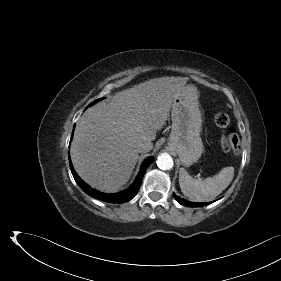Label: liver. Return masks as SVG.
Returning <instances> with one entry per match:
<instances>
[{"mask_svg": "<svg viewBox=\"0 0 281 281\" xmlns=\"http://www.w3.org/2000/svg\"><path fill=\"white\" fill-rule=\"evenodd\" d=\"M187 81L173 76L150 79L89 108L76 125L70 149L78 175L97 190H120L139 159L138 144L152 149L157 130Z\"/></svg>", "mask_w": 281, "mask_h": 281, "instance_id": "obj_1", "label": "liver"}]
</instances>
